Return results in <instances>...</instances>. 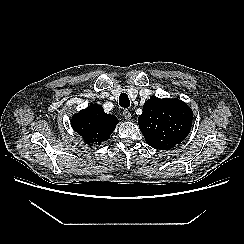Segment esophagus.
I'll return each instance as SVG.
<instances>
[{"instance_id": "obj_1", "label": "esophagus", "mask_w": 244, "mask_h": 244, "mask_svg": "<svg viewBox=\"0 0 244 244\" xmlns=\"http://www.w3.org/2000/svg\"><path fill=\"white\" fill-rule=\"evenodd\" d=\"M123 116H124V118H125L126 120H130V119H131V113H130V111H129L128 109H125V110L123 111Z\"/></svg>"}]
</instances>
